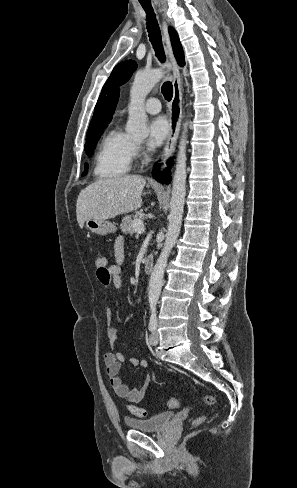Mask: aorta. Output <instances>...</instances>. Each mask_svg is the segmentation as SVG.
Here are the masks:
<instances>
[{
    "label": "aorta",
    "instance_id": "obj_1",
    "mask_svg": "<svg viewBox=\"0 0 297 488\" xmlns=\"http://www.w3.org/2000/svg\"><path fill=\"white\" fill-rule=\"evenodd\" d=\"M164 76L165 72L162 69L136 73L130 90V103L128 106L129 119L126 125V131L128 133L138 137L147 135V115L144 110L145 98L154 85L163 79ZM186 133L187 122L184 123V130L179 142L166 240L149 280L148 301L151 307L156 306L158 302L168 257L180 233L186 195Z\"/></svg>",
    "mask_w": 297,
    "mask_h": 488
}]
</instances>
